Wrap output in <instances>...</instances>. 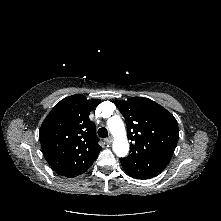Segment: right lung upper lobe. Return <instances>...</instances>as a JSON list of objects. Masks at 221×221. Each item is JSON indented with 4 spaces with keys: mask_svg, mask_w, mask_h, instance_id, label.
<instances>
[{
    "mask_svg": "<svg viewBox=\"0 0 221 221\" xmlns=\"http://www.w3.org/2000/svg\"><path fill=\"white\" fill-rule=\"evenodd\" d=\"M99 99L75 94L61 100L47 115L39 130L42 151L59 175L73 178L90 167L101 146L90 112Z\"/></svg>",
    "mask_w": 221,
    "mask_h": 221,
    "instance_id": "1",
    "label": "right lung upper lobe"
}]
</instances>
